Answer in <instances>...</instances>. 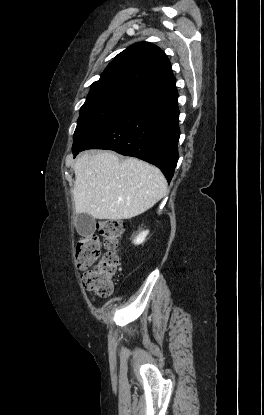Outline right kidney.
I'll return each mask as SVG.
<instances>
[{
    "label": "right kidney",
    "instance_id": "right-kidney-1",
    "mask_svg": "<svg viewBox=\"0 0 264 415\" xmlns=\"http://www.w3.org/2000/svg\"><path fill=\"white\" fill-rule=\"evenodd\" d=\"M149 231H143L141 232L135 239H134V244L139 245L141 243L144 242L146 236L148 235Z\"/></svg>",
    "mask_w": 264,
    "mask_h": 415
}]
</instances>
